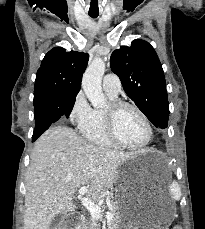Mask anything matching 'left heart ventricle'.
<instances>
[{"label":"left heart ventricle","mask_w":205,"mask_h":229,"mask_svg":"<svg viewBox=\"0 0 205 229\" xmlns=\"http://www.w3.org/2000/svg\"><path fill=\"white\" fill-rule=\"evenodd\" d=\"M116 131L120 140L130 145L140 144L147 136L143 120L130 108L121 110L117 115Z\"/></svg>","instance_id":"left-heart-ventricle-1"}]
</instances>
